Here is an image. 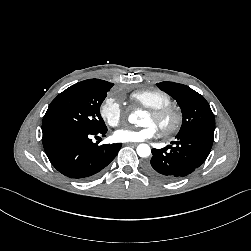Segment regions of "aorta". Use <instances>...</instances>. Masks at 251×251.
Wrapping results in <instances>:
<instances>
[{"instance_id":"obj_1","label":"aorta","mask_w":251,"mask_h":251,"mask_svg":"<svg viewBox=\"0 0 251 251\" xmlns=\"http://www.w3.org/2000/svg\"><path fill=\"white\" fill-rule=\"evenodd\" d=\"M140 115V111H136L134 114H131L129 116V122L130 123H136L137 122V116ZM137 154L140 157H148L151 154L150 146L147 144H139L136 148Z\"/></svg>"}]
</instances>
